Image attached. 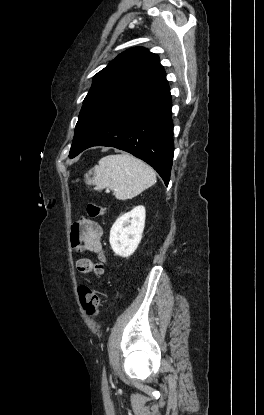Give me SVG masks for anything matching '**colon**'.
Masks as SVG:
<instances>
[{
    "mask_svg": "<svg viewBox=\"0 0 264 415\" xmlns=\"http://www.w3.org/2000/svg\"><path fill=\"white\" fill-rule=\"evenodd\" d=\"M104 213L103 208L96 203H90L87 206V216L89 218H98ZM77 267L84 271L98 270L94 261L89 258H80L76 261ZM79 303L83 311L90 317H94L98 313L99 296L94 289L87 286H81L78 290Z\"/></svg>",
    "mask_w": 264,
    "mask_h": 415,
    "instance_id": "5ec220e1",
    "label": "colon"
}]
</instances>
